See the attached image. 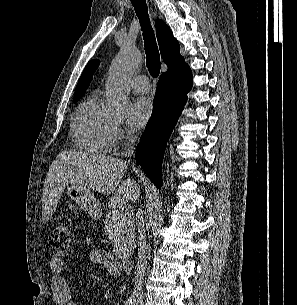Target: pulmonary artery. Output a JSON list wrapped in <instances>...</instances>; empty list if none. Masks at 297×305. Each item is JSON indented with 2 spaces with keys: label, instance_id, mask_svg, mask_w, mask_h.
<instances>
[{
  "label": "pulmonary artery",
  "instance_id": "1",
  "mask_svg": "<svg viewBox=\"0 0 297 305\" xmlns=\"http://www.w3.org/2000/svg\"><path fill=\"white\" fill-rule=\"evenodd\" d=\"M131 88L138 93H147L150 90L148 78L145 75H138L130 82Z\"/></svg>",
  "mask_w": 297,
  "mask_h": 305
}]
</instances>
